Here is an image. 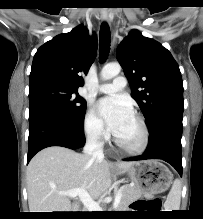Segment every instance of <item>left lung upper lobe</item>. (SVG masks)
I'll use <instances>...</instances> for the list:
<instances>
[{
	"mask_svg": "<svg viewBox=\"0 0 203 219\" xmlns=\"http://www.w3.org/2000/svg\"><path fill=\"white\" fill-rule=\"evenodd\" d=\"M116 56L149 131L168 118L182 117L183 81L178 64L166 48L134 29L118 46Z\"/></svg>",
	"mask_w": 203,
	"mask_h": 219,
	"instance_id": "1",
	"label": "left lung upper lobe"
}]
</instances>
